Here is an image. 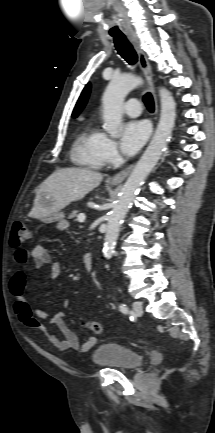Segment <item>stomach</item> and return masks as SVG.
<instances>
[{
  "label": "stomach",
  "instance_id": "obj_1",
  "mask_svg": "<svg viewBox=\"0 0 215 433\" xmlns=\"http://www.w3.org/2000/svg\"><path fill=\"white\" fill-rule=\"evenodd\" d=\"M51 202H52V199H51V197L47 193H43L41 195V204L44 207H50L51 206ZM63 218H64L63 213L60 212V210H58V211L52 212L48 216H45V217L41 218V220L43 222H45V223H52V222H56V221H61V220H63Z\"/></svg>",
  "mask_w": 215,
  "mask_h": 433
}]
</instances>
